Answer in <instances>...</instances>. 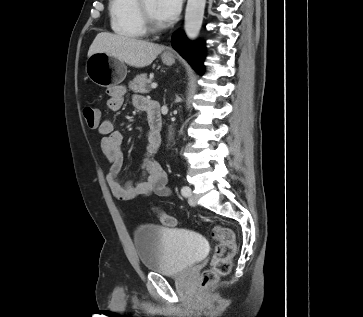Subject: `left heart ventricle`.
<instances>
[{
  "label": "left heart ventricle",
  "mask_w": 363,
  "mask_h": 317,
  "mask_svg": "<svg viewBox=\"0 0 363 317\" xmlns=\"http://www.w3.org/2000/svg\"><path fill=\"white\" fill-rule=\"evenodd\" d=\"M145 7L151 17L159 24H162L163 22L160 20V18L157 15L156 11V0H145Z\"/></svg>",
  "instance_id": "obj_1"
}]
</instances>
